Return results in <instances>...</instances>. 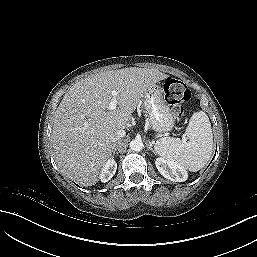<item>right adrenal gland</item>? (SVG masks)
I'll use <instances>...</instances> for the list:
<instances>
[{
	"label": "right adrenal gland",
	"mask_w": 257,
	"mask_h": 257,
	"mask_svg": "<svg viewBox=\"0 0 257 257\" xmlns=\"http://www.w3.org/2000/svg\"><path fill=\"white\" fill-rule=\"evenodd\" d=\"M118 154V152L116 151V144L113 145V155Z\"/></svg>",
	"instance_id": "2a0ac1e0"
}]
</instances>
